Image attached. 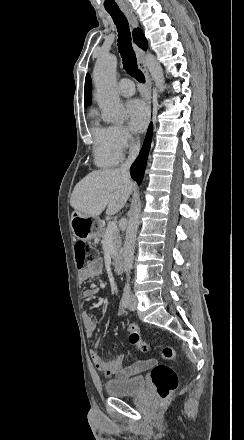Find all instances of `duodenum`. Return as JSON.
Masks as SVG:
<instances>
[{
    "mask_svg": "<svg viewBox=\"0 0 244 440\" xmlns=\"http://www.w3.org/2000/svg\"><path fill=\"white\" fill-rule=\"evenodd\" d=\"M114 269L117 273L123 272V256L121 254H117L113 258Z\"/></svg>",
    "mask_w": 244,
    "mask_h": 440,
    "instance_id": "1",
    "label": "duodenum"
}]
</instances>
